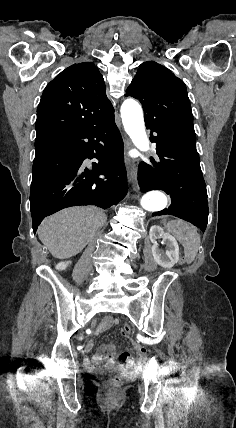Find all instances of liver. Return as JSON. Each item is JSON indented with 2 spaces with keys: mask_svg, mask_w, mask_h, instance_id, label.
Here are the masks:
<instances>
[{
  "mask_svg": "<svg viewBox=\"0 0 236 428\" xmlns=\"http://www.w3.org/2000/svg\"><path fill=\"white\" fill-rule=\"evenodd\" d=\"M106 220L103 210L94 206L67 208L43 220L38 228L39 240L53 258H72L82 252Z\"/></svg>",
  "mask_w": 236,
  "mask_h": 428,
  "instance_id": "6515ba94",
  "label": "liver"
}]
</instances>
